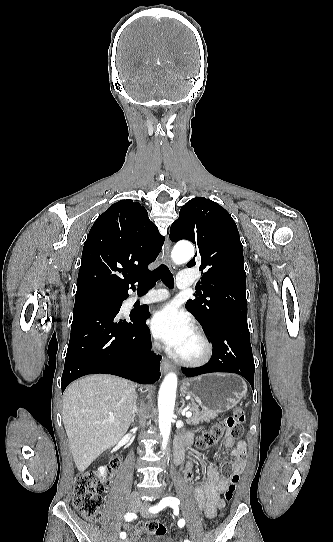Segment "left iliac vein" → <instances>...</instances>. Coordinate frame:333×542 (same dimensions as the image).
Here are the masks:
<instances>
[{"mask_svg": "<svg viewBox=\"0 0 333 542\" xmlns=\"http://www.w3.org/2000/svg\"><path fill=\"white\" fill-rule=\"evenodd\" d=\"M149 507H150V503L145 501L144 503H142L141 505V508H140V514L147 518V517H150L151 514L149 513Z\"/></svg>", "mask_w": 333, "mask_h": 542, "instance_id": "4c4485c4", "label": "left iliac vein"}]
</instances>
